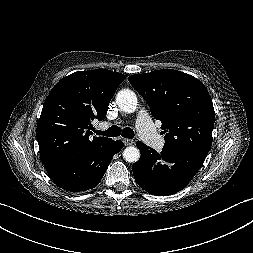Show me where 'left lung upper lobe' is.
I'll list each match as a JSON object with an SVG mask.
<instances>
[{
	"instance_id": "left-lung-upper-lobe-1",
	"label": "left lung upper lobe",
	"mask_w": 253,
	"mask_h": 253,
	"mask_svg": "<svg viewBox=\"0 0 253 253\" xmlns=\"http://www.w3.org/2000/svg\"><path fill=\"white\" fill-rule=\"evenodd\" d=\"M128 80L144 97L153 117L162 122L163 152L176 157L190 152L207 155L215 113L201 81L172 69L134 74Z\"/></svg>"
}]
</instances>
